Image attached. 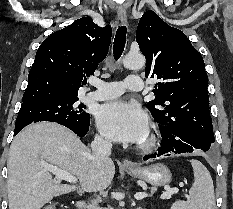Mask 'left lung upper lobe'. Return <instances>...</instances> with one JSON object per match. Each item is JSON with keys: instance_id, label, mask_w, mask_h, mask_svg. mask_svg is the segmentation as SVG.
<instances>
[{"instance_id": "left-lung-upper-lobe-1", "label": "left lung upper lobe", "mask_w": 233, "mask_h": 209, "mask_svg": "<svg viewBox=\"0 0 233 209\" xmlns=\"http://www.w3.org/2000/svg\"><path fill=\"white\" fill-rule=\"evenodd\" d=\"M136 41L146 57V77L159 80L153 89L156 98L148 103L158 126L182 128L214 142L201 54L182 31L152 10L141 17Z\"/></svg>"}]
</instances>
